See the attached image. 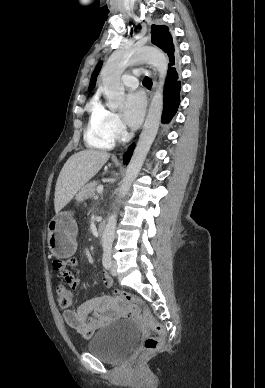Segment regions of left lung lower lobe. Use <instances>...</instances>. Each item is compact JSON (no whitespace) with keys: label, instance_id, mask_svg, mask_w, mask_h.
<instances>
[{"label":"left lung lower lobe","instance_id":"obj_1","mask_svg":"<svg viewBox=\"0 0 265 388\" xmlns=\"http://www.w3.org/2000/svg\"><path fill=\"white\" fill-rule=\"evenodd\" d=\"M180 92L181 82L179 66L169 67L164 86L163 123H169L175 116L180 104Z\"/></svg>","mask_w":265,"mask_h":388}]
</instances>
